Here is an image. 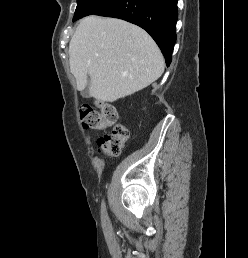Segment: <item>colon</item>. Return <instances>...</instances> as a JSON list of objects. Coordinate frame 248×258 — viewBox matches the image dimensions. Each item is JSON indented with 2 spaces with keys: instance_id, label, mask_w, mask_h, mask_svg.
Segmentation results:
<instances>
[{
  "instance_id": "colon-1",
  "label": "colon",
  "mask_w": 248,
  "mask_h": 258,
  "mask_svg": "<svg viewBox=\"0 0 248 258\" xmlns=\"http://www.w3.org/2000/svg\"><path fill=\"white\" fill-rule=\"evenodd\" d=\"M80 122L87 129H103L110 127L111 131L98 138L97 146L100 152L118 156L128 138L127 128L119 122L116 108L105 102H97L96 108L84 104L79 109Z\"/></svg>"
}]
</instances>
